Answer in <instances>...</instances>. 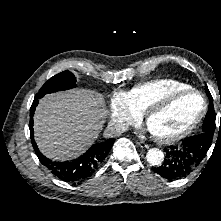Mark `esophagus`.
Masks as SVG:
<instances>
[{
	"label": "esophagus",
	"mask_w": 221,
	"mask_h": 221,
	"mask_svg": "<svg viewBox=\"0 0 221 221\" xmlns=\"http://www.w3.org/2000/svg\"><path fill=\"white\" fill-rule=\"evenodd\" d=\"M136 143L141 147V148H149V145L146 144L144 141L142 140H137Z\"/></svg>",
	"instance_id": "34e87169"
}]
</instances>
